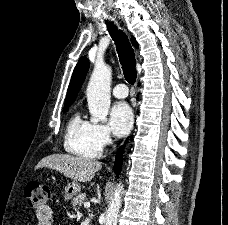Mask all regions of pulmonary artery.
Masks as SVG:
<instances>
[{
  "label": "pulmonary artery",
  "mask_w": 228,
  "mask_h": 225,
  "mask_svg": "<svg viewBox=\"0 0 228 225\" xmlns=\"http://www.w3.org/2000/svg\"><path fill=\"white\" fill-rule=\"evenodd\" d=\"M112 93L116 98H126L128 96L129 90L125 84H118L112 89Z\"/></svg>",
  "instance_id": "pulmonary-artery-1"
}]
</instances>
